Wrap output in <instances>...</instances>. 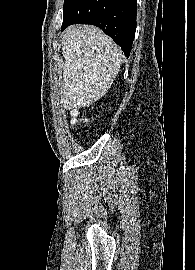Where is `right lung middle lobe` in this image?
<instances>
[{
	"label": "right lung middle lobe",
	"mask_w": 195,
	"mask_h": 270,
	"mask_svg": "<svg viewBox=\"0 0 195 270\" xmlns=\"http://www.w3.org/2000/svg\"><path fill=\"white\" fill-rule=\"evenodd\" d=\"M73 0H64V11L71 5Z\"/></svg>",
	"instance_id": "right-lung-middle-lobe-1"
}]
</instances>
